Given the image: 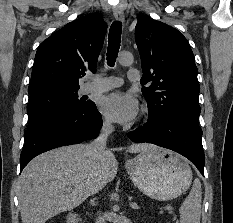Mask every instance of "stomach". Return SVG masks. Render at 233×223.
<instances>
[{
  "label": "stomach",
  "instance_id": "0dacf381",
  "mask_svg": "<svg viewBox=\"0 0 233 223\" xmlns=\"http://www.w3.org/2000/svg\"><path fill=\"white\" fill-rule=\"evenodd\" d=\"M126 169L139 191L159 201L175 199L192 181L187 159L162 147H150L126 161Z\"/></svg>",
  "mask_w": 233,
  "mask_h": 223
}]
</instances>
